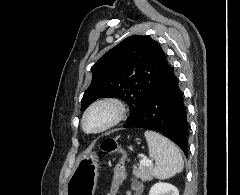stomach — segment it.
<instances>
[{
	"instance_id": "stomach-1",
	"label": "stomach",
	"mask_w": 240,
	"mask_h": 195,
	"mask_svg": "<svg viewBox=\"0 0 240 195\" xmlns=\"http://www.w3.org/2000/svg\"><path fill=\"white\" fill-rule=\"evenodd\" d=\"M98 157L96 151L79 155L67 183L68 195H94L98 179Z\"/></svg>"
}]
</instances>
